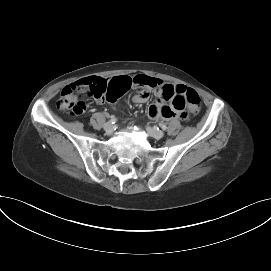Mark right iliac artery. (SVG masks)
Masks as SVG:
<instances>
[{
    "label": "right iliac artery",
    "instance_id": "obj_1",
    "mask_svg": "<svg viewBox=\"0 0 271 271\" xmlns=\"http://www.w3.org/2000/svg\"><path fill=\"white\" fill-rule=\"evenodd\" d=\"M116 122H117V118H115L114 116L111 117V119L109 120V123H111V124H114Z\"/></svg>",
    "mask_w": 271,
    "mask_h": 271
}]
</instances>
